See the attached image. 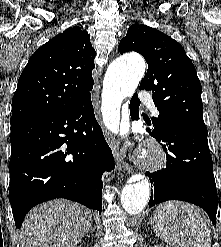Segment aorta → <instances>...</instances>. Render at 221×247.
<instances>
[{"instance_id": "762f6f07", "label": "aorta", "mask_w": 221, "mask_h": 247, "mask_svg": "<svg viewBox=\"0 0 221 247\" xmlns=\"http://www.w3.org/2000/svg\"><path fill=\"white\" fill-rule=\"evenodd\" d=\"M146 69L144 59L137 54L122 56L108 67L102 90V115L106 126L118 132L120 108L123 100L131 96ZM150 197L148 179L127 184L121 193V204L129 214H137L144 209Z\"/></svg>"}]
</instances>
